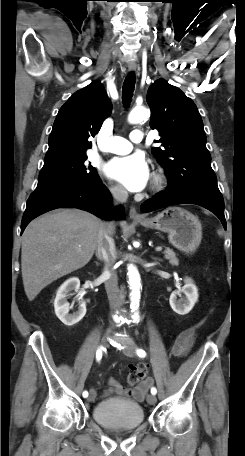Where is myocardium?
<instances>
[{
	"mask_svg": "<svg viewBox=\"0 0 245 456\" xmlns=\"http://www.w3.org/2000/svg\"><path fill=\"white\" fill-rule=\"evenodd\" d=\"M166 183V177L162 172H155L152 176L151 186L153 190H160Z\"/></svg>",
	"mask_w": 245,
	"mask_h": 456,
	"instance_id": "f54148a6",
	"label": "myocardium"
}]
</instances>
